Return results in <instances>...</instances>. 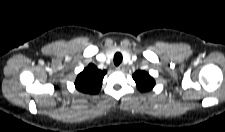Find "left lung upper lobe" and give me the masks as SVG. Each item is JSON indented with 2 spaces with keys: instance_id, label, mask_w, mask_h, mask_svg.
<instances>
[{
  "instance_id": "left-lung-upper-lobe-1",
  "label": "left lung upper lobe",
  "mask_w": 225,
  "mask_h": 132,
  "mask_svg": "<svg viewBox=\"0 0 225 132\" xmlns=\"http://www.w3.org/2000/svg\"><path fill=\"white\" fill-rule=\"evenodd\" d=\"M133 79L137 84V88L144 92L152 89L155 85L154 79L145 71H136Z\"/></svg>"
}]
</instances>
